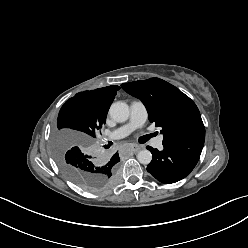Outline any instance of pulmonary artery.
<instances>
[{
	"mask_svg": "<svg viewBox=\"0 0 248 248\" xmlns=\"http://www.w3.org/2000/svg\"><path fill=\"white\" fill-rule=\"evenodd\" d=\"M147 110L140 101H133L130 105L129 122L110 133V139H121L130 134L135 128L142 126L147 120ZM153 146L161 149L163 147L162 136L153 139Z\"/></svg>",
	"mask_w": 248,
	"mask_h": 248,
	"instance_id": "obj_1",
	"label": "pulmonary artery"
}]
</instances>
